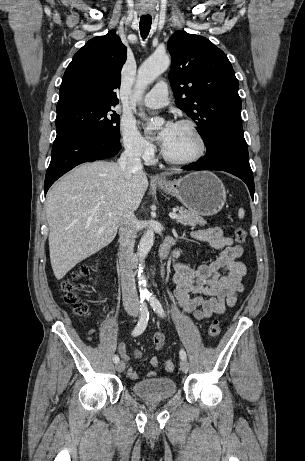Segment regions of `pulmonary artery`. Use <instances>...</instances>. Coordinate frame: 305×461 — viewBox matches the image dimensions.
Returning <instances> with one entry per match:
<instances>
[{
    "instance_id": "1",
    "label": "pulmonary artery",
    "mask_w": 305,
    "mask_h": 461,
    "mask_svg": "<svg viewBox=\"0 0 305 461\" xmlns=\"http://www.w3.org/2000/svg\"><path fill=\"white\" fill-rule=\"evenodd\" d=\"M168 85L166 82L161 81L149 91L143 102L150 108H161L168 104Z\"/></svg>"
}]
</instances>
